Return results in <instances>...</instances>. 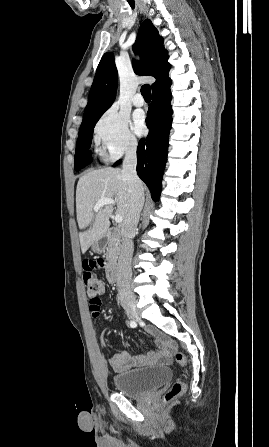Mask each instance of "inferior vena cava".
Returning <instances> with one entry per match:
<instances>
[{
    "instance_id": "602c4592",
    "label": "inferior vena cava",
    "mask_w": 269,
    "mask_h": 447,
    "mask_svg": "<svg viewBox=\"0 0 269 447\" xmlns=\"http://www.w3.org/2000/svg\"><path fill=\"white\" fill-rule=\"evenodd\" d=\"M137 142L132 146H128L125 152L123 162V174L129 186L131 194L130 210L122 224V247L118 259L117 269V285L120 293H132L130 289V281L132 277V255H133V239L137 224L140 218V212L144 206V188L143 184L137 176Z\"/></svg>"
}]
</instances>
